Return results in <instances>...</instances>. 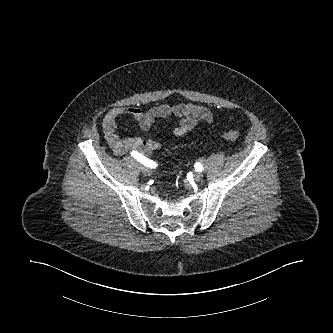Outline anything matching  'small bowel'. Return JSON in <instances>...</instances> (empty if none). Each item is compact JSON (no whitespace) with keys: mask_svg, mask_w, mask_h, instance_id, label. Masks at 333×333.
I'll list each match as a JSON object with an SVG mask.
<instances>
[{"mask_svg":"<svg viewBox=\"0 0 333 333\" xmlns=\"http://www.w3.org/2000/svg\"><path fill=\"white\" fill-rule=\"evenodd\" d=\"M126 116L132 117L143 132H149L157 119L175 116L178 118V123L172 129L175 135L187 133L199 122L209 124L213 120L206 107L191 103L161 104L147 110L127 106L112 108L103 117L102 130L109 147L120 156L131 154L132 151L148 155L162 147V143L153 138H121L117 134V122Z\"/></svg>","mask_w":333,"mask_h":333,"instance_id":"1","label":"small bowel"}]
</instances>
